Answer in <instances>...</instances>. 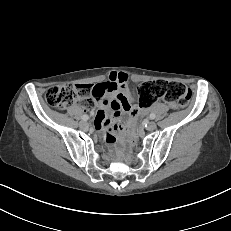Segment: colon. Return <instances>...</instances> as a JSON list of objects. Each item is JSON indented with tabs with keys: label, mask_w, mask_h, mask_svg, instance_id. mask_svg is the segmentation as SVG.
<instances>
[{
	"label": "colon",
	"mask_w": 231,
	"mask_h": 231,
	"mask_svg": "<svg viewBox=\"0 0 231 231\" xmlns=\"http://www.w3.org/2000/svg\"><path fill=\"white\" fill-rule=\"evenodd\" d=\"M92 98L90 85H58L48 89L45 93L46 103L58 109H64L76 102L91 105ZM160 99H164L175 109L183 108L188 105L191 92L181 83L166 80H152L138 86L140 108H148ZM136 120L137 112L132 111L130 119L126 123L117 124V130L126 134L127 140L132 146L136 145L133 134Z\"/></svg>",
	"instance_id": "5ec220e1"
}]
</instances>
